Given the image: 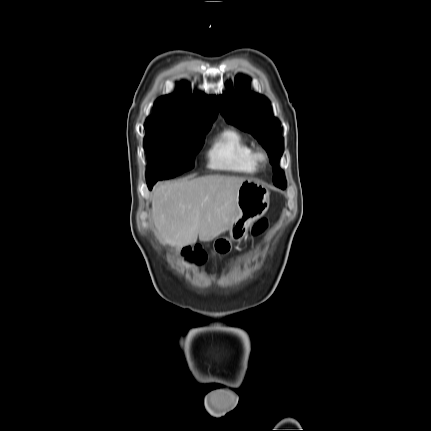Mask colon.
<instances>
[{"label": "colon", "instance_id": "1", "mask_svg": "<svg viewBox=\"0 0 431 431\" xmlns=\"http://www.w3.org/2000/svg\"><path fill=\"white\" fill-rule=\"evenodd\" d=\"M266 227V221L265 220H259L253 227L252 229V233L254 235H258L260 234ZM193 256L198 260V261H203L205 258V255L203 252H201L200 250H196L194 253H192Z\"/></svg>", "mask_w": 431, "mask_h": 431}]
</instances>
